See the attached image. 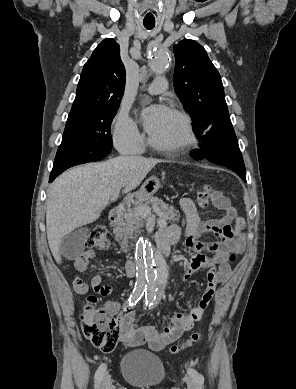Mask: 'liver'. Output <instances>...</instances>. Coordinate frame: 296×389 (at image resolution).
<instances>
[{
	"instance_id": "liver-1",
	"label": "liver",
	"mask_w": 296,
	"mask_h": 389,
	"mask_svg": "<svg viewBox=\"0 0 296 389\" xmlns=\"http://www.w3.org/2000/svg\"><path fill=\"white\" fill-rule=\"evenodd\" d=\"M161 160L119 156L72 168L57 178L46 201L47 239L55 261L61 263L60 243L75 228L96 221L113 194L137 188Z\"/></svg>"
}]
</instances>
